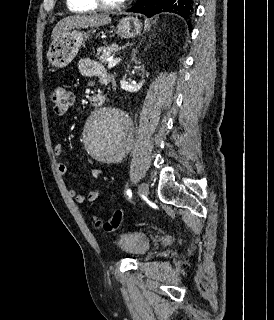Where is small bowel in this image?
Returning a JSON list of instances; mask_svg holds the SVG:
<instances>
[{"label":"small bowel","instance_id":"c3829d8e","mask_svg":"<svg viewBox=\"0 0 274 320\" xmlns=\"http://www.w3.org/2000/svg\"><path fill=\"white\" fill-rule=\"evenodd\" d=\"M79 71L84 76H97L100 79V82L103 85H107L110 81L109 75L105 72L103 67L96 61H93L89 58H83L79 62ZM64 149V143L62 141H58L54 148V156L56 159V168L60 175H67V166L62 162L61 156ZM105 170L103 168H95L91 171L92 177L98 179L103 176ZM68 194L70 197L74 198V200L79 203H87L94 202L97 200L101 194V189H94L89 192L80 193L77 188L69 187Z\"/></svg>","mask_w":274,"mask_h":320}]
</instances>
